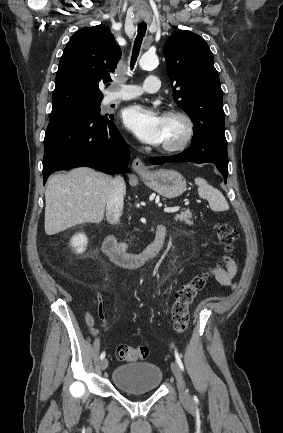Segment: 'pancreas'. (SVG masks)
Returning <instances> with one entry per match:
<instances>
[{
  "label": "pancreas",
  "mask_w": 283,
  "mask_h": 433,
  "mask_svg": "<svg viewBox=\"0 0 283 433\" xmlns=\"http://www.w3.org/2000/svg\"><path fill=\"white\" fill-rule=\"evenodd\" d=\"M175 221H184V223H187V221H190L192 219V212L190 208H185V210H182L180 214H176V217H174Z\"/></svg>",
  "instance_id": "obj_1"
}]
</instances>
